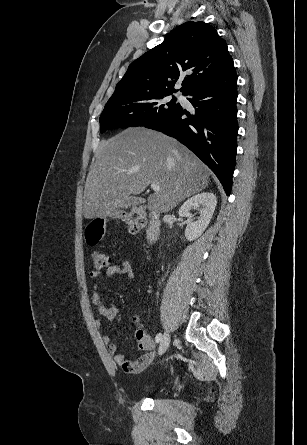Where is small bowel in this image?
Here are the masks:
<instances>
[{"label": "small bowel", "instance_id": "small-bowel-1", "mask_svg": "<svg viewBox=\"0 0 307 445\" xmlns=\"http://www.w3.org/2000/svg\"><path fill=\"white\" fill-rule=\"evenodd\" d=\"M100 275L101 274L98 270H94L90 273V279L93 281L92 300L99 315L109 321H113L117 317L118 309L115 304L108 303L102 300L99 293L97 292L96 281L100 278ZM106 275L109 277L114 275H124L129 279H133L134 270L129 260H123L117 265H112L108 267L106 270ZM102 339L106 345L108 353L113 357V360L119 366H121L124 371L128 373L132 374L140 373L147 366H149L155 358V352H154L155 344L152 339H150L149 345L146 346L140 345V347L147 352L142 356H140L135 361H131L127 359L123 354L119 353L117 345L111 342L110 337L108 335H103Z\"/></svg>", "mask_w": 307, "mask_h": 445}]
</instances>
